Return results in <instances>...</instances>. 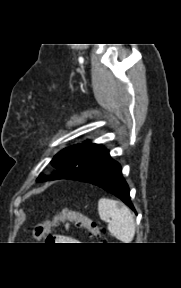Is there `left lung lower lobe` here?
<instances>
[{
  "label": "left lung lower lobe",
  "mask_w": 181,
  "mask_h": 288,
  "mask_svg": "<svg viewBox=\"0 0 181 288\" xmlns=\"http://www.w3.org/2000/svg\"><path fill=\"white\" fill-rule=\"evenodd\" d=\"M80 181L94 184L120 198L135 213V208L129 195V187L121 173L120 164L109 158L104 164L98 167L88 176Z\"/></svg>",
  "instance_id": "1"
}]
</instances>
